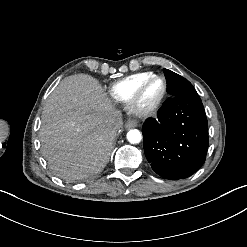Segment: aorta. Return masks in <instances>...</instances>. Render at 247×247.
I'll return each instance as SVG.
<instances>
[{"mask_svg":"<svg viewBox=\"0 0 247 247\" xmlns=\"http://www.w3.org/2000/svg\"><path fill=\"white\" fill-rule=\"evenodd\" d=\"M127 139L131 144H136L139 143L142 139V134L140 133L139 130L134 129V130H130L127 133Z\"/></svg>","mask_w":247,"mask_h":247,"instance_id":"1","label":"aorta"}]
</instances>
